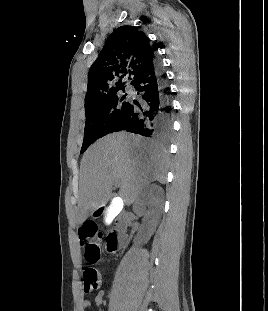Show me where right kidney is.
Returning <instances> with one entry per match:
<instances>
[{"instance_id":"1","label":"right kidney","mask_w":268,"mask_h":311,"mask_svg":"<svg viewBox=\"0 0 268 311\" xmlns=\"http://www.w3.org/2000/svg\"><path fill=\"white\" fill-rule=\"evenodd\" d=\"M164 191L157 184L145 187L135 201L133 210L137 215L144 216L137 238L147 242L155 232L164 208Z\"/></svg>"}]
</instances>
